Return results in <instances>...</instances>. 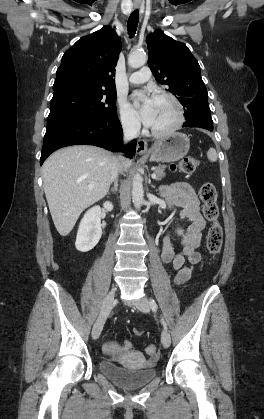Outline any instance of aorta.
<instances>
[{"mask_svg": "<svg viewBox=\"0 0 264 419\" xmlns=\"http://www.w3.org/2000/svg\"><path fill=\"white\" fill-rule=\"evenodd\" d=\"M147 61L145 52H133L128 57V64L132 68H139L143 66ZM132 199L135 207L139 209L144 201V191L142 184V177L139 173H136L133 177L132 182Z\"/></svg>", "mask_w": 264, "mask_h": 419, "instance_id": "762f6f07", "label": "aorta"}]
</instances>
